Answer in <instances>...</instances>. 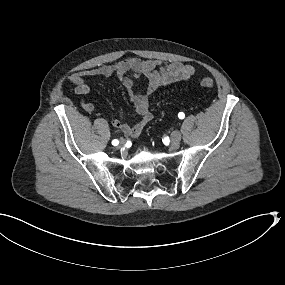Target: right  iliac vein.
<instances>
[{
	"mask_svg": "<svg viewBox=\"0 0 285 285\" xmlns=\"http://www.w3.org/2000/svg\"><path fill=\"white\" fill-rule=\"evenodd\" d=\"M123 145H124V141L121 140V141H120V146H119V148H120L121 146H123Z\"/></svg>",
	"mask_w": 285,
	"mask_h": 285,
	"instance_id": "obj_1",
	"label": "right iliac vein"
}]
</instances>
